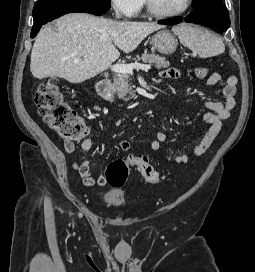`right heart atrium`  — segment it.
I'll list each match as a JSON object with an SVG mask.
<instances>
[{"instance_id": "obj_1", "label": "right heart atrium", "mask_w": 255, "mask_h": 272, "mask_svg": "<svg viewBox=\"0 0 255 272\" xmlns=\"http://www.w3.org/2000/svg\"><path fill=\"white\" fill-rule=\"evenodd\" d=\"M112 7L120 14L127 17L136 16L142 5L143 0H110Z\"/></svg>"}]
</instances>
